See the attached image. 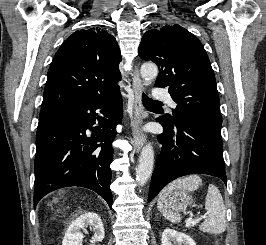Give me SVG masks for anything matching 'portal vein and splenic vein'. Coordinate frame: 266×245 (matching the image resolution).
I'll return each mask as SVG.
<instances>
[{"label":"portal vein and splenic vein","mask_w":266,"mask_h":245,"mask_svg":"<svg viewBox=\"0 0 266 245\" xmlns=\"http://www.w3.org/2000/svg\"><path fill=\"white\" fill-rule=\"evenodd\" d=\"M201 219H205V217H199V219H194V221L193 219H188V221H186V227H193V225H196Z\"/></svg>","instance_id":"obj_1"}]
</instances>
